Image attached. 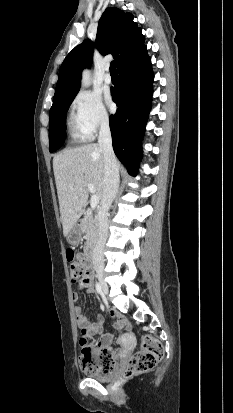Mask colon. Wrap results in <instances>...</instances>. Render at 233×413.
Wrapping results in <instances>:
<instances>
[{
  "mask_svg": "<svg viewBox=\"0 0 233 413\" xmlns=\"http://www.w3.org/2000/svg\"><path fill=\"white\" fill-rule=\"evenodd\" d=\"M70 277L72 282L86 279L91 274V269L86 258L73 250L67 251ZM81 345V367L89 374L105 375L113 371L115 356L111 349L94 346L91 337L83 336ZM163 347L158 340L150 335L142 339L140 349L132 356L125 370V377L147 372L161 360Z\"/></svg>",
  "mask_w": 233,
  "mask_h": 413,
  "instance_id": "colon-1",
  "label": "colon"
}]
</instances>
